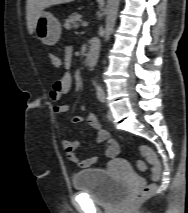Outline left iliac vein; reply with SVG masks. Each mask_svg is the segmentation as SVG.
<instances>
[{
    "label": "left iliac vein",
    "mask_w": 188,
    "mask_h": 213,
    "mask_svg": "<svg viewBox=\"0 0 188 213\" xmlns=\"http://www.w3.org/2000/svg\"><path fill=\"white\" fill-rule=\"evenodd\" d=\"M107 118H108L109 121H113V114H112L111 110H108Z\"/></svg>",
    "instance_id": "obj_1"
}]
</instances>
